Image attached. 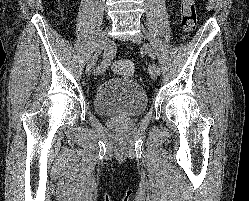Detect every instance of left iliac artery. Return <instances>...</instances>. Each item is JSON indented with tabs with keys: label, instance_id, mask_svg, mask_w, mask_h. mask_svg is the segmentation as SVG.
I'll return each instance as SVG.
<instances>
[{
	"label": "left iliac artery",
	"instance_id": "44dca946",
	"mask_svg": "<svg viewBox=\"0 0 249 201\" xmlns=\"http://www.w3.org/2000/svg\"><path fill=\"white\" fill-rule=\"evenodd\" d=\"M144 47L148 50L149 56L151 58H154L155 53H154V51L152 49H150V46L148 44H145ZM156 68H157L158 73L160 74L161 73V68L160 67H156Z\"/></svg>",
	"mask_w": 249,
	"mask_h": 201
}]
</instances>
